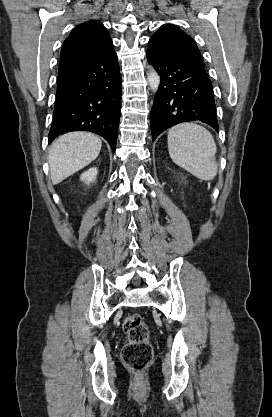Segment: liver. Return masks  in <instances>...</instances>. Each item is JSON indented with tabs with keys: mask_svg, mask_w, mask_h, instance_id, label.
<instances>
[{
	"mask_svg": "<svg viewBox=\"0 0 272 417\" xmlns=\"http://www.w3.org/2000/svg\"><path fill=\"white\" fill-rule=\"evenodd\" d=\"M99 137L88 132H72L56 139L49 150L48 163L53 184L83 169L94 161L101 150Z\"/></svg>",
	"mask_w": 272,
	"mask_h": 417,
	"instance_id": "liver-1",
	"label": "liver"
}]
</instances>
